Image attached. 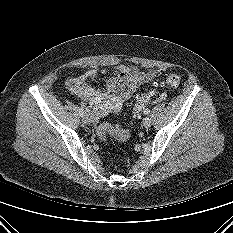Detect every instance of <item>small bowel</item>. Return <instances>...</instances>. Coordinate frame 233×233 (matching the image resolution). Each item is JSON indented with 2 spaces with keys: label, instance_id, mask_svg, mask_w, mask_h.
Returning a JSON list of instances; mask_svg holds the SVG:
<instances>
[{
  "label": "small bowel",
  "instance_id": "1",
  "mask_svg": "<svg viewBox=\"0 0 233 233\" xmlns=\"http://www.w3.org/2000/svg\"><path fill=\"white\" fill-rule=\"evenodd\" d=\"M98 74H109L104 81L103 90L94 89L88 84ZM160 74L159 69L141 71L135 66L119 64L112 68L89 70L77 77L68 78L65 84L72 94L94 108L98 115H103L118 112L139 87Z\"/></svg>",
  "mask_w": 233,
  "mask_h": 233
}]
</instances>
